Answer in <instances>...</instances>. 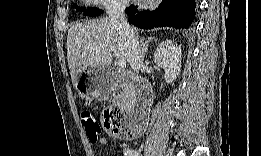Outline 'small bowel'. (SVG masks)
I'll list each match as a JSON object with an SVG mask.
<instances>
[{"mask_svg": "<svg viewBox=\"0 0 261 156\" xmlns=\"http://www.w3.org/2000/svg\"><path fill=\"white\" fill-rule=\"evenodd\" d=\"M98 143L100 145H105L107 143V139L105 137H101L98 139Z\"/></svg>", "mask_w": 261, "mask_h": 156, "instance_id": "obj_1", "label": "small bowel"}]
</instances>
